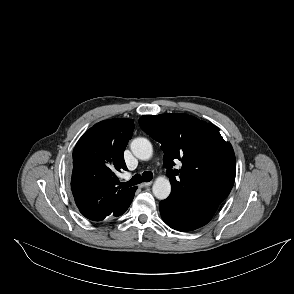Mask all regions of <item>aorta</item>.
<instances>
[{"label": "aorta", "instance_id": "1", "mask_svg": "<svg viewBox=\"0 0 294 294\" xmlns=\"http://www.w3.org/2000/svg\"><path fill=\"white\" fill-rule=\"evenodd\" d=\"M131 151L140 160H149L153 154L150 141L142 137L132 141ZM152 191L157 199L164 200L170 195L171 184L166 177H158L153 184Z\"/></svg>", "mask_w": 294, "mask_h": 294}]
</instances>
